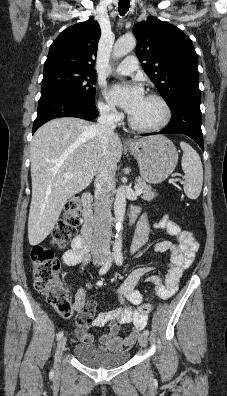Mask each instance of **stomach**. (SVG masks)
Masks as SVG:
<instances>
[{
  "label": "stomach",
  "mask_w": 227,
  "mask_h": 396,
  "mask_svg": "<svg viewBox=\"0 0 227 396\" xmlns=\"http://www.w3.org/2000/svg\"><path fill=\"white\" fill-rule=\"evenodd\" d=\"M128 149L138 162L141 178L151 184L166 180L178 161L176 147L164 136L141 138Z\"/></svg>",
  "instance_id": "0dacf381"
}]
</instances>
